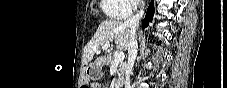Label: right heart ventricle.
<instances>
[{"label":"right heart ventricle","mask_w":227,"mask_h":88,"mask_svg":"<svg viewBox=\"0 0 227 88\" xmlns=\"http://www.w3.org/2000/svg\"><path fill=\"white\" fill-rule=\"evenodd\" d=\"M101 9L110 19H122L126 16L129 5L124 0H101Z\"/></svg>","instance_id":"e07e8e85"}]
</instances>
